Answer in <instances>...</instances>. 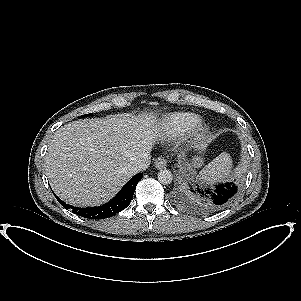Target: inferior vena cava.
<instances>
[{
    "mask_svg": "<svg viewBox=\"0 0 301 301\" xmlns=\"http://www.w3.org/2000/svg\"><path fill=\"white\" fill-rule=\"evenodd\" d=\"M150 165V155H146L142 159L137 160L131 167L132 173L136 174L146 170Z\"/></svg>",
    "mask_w": 301,
    "mask_h": 301,
    "instance_id": "inferior-vena-cava-1",
    "label": "inferior vena cava"
}]
</instances>
